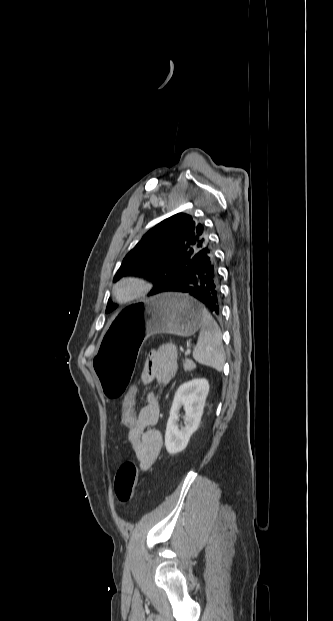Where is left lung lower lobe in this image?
<instances>
[{
  "label": "left lung lower lobe",
  "instance_id": "left-lung-lower-lobe-1",
  "mask_svg": "<svg viewBox=\"0 0 333 621\" xmlns=\"http://www.w3.org/2000/svg\"><path fill=\"white\" fill-rule=\"evenodd\" d=\"M218 274L212 246L200 249L184 272L169 282L160 293L183 292L203 303L214 315L220 313Z\"/></svg>",
  "mask_w": 333,
  "mask_h": 621
}]
</instances>
